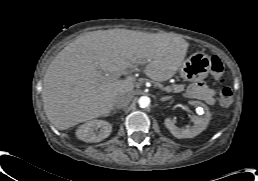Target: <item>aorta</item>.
Returning <instances> with one entry per match:
<instances>
[{
  "mask_svg": "<svg viewBox=\"0 0 258 181\" xmlns=\"http://www.w3.org/2000/svg\"><path fill=\"white\" fill-rule=\"evenodd\" d=\"M150 98L148 96H141L138 100V104L142 108H146L150 105Z\"/></svg>",
  "mask_w": 258,
  "mask_h": 181,
  "instance_id": "1",
  "label": "aorta"
}]
</instances>
